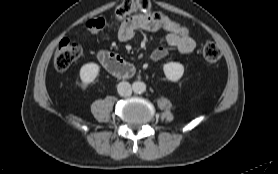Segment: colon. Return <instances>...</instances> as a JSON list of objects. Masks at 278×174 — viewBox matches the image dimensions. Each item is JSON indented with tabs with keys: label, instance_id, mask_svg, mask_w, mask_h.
I'll list each match as a JSON object with an SVG mask.
<instances>
[{
	"label": "colon",
	"instance_id": "obj_1",
	"mask_svg": "<svg viewBox=\"0 0 278 174\" xmlns=\"http://www.w3.org/2000/svg\"><path fill=\"white\" fill-rule=\"evenodd\" d=\"M136 12H151L148 0H125L121 3L115 13V20L120 24L131 14ZM161 26L180 37H191L188 27L179 21L161 14L158 16ZM106 19L103 17L92 18L87 21L86 28L91 33H101L106 27ZM82 55V46L75 41L64 39L58 45L54 57V66L59 71H64L76 62ZM204 61L209 65H216L221 57L220 48L213 42L206 43L202 50Z\"/></svg>",
	"mask_w": 278,
	"mask_h": 174
}]
</instances>
